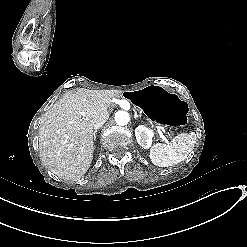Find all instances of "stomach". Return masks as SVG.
<instances>
[{"label":"stomach","mask_w":247,"mask_h":247,"mask_svg":"<svg viewBox=\"0 0 247 247\" xmlns=\"http://www.w3.org/2000/svg\"><path fill=\"white\" fill-rule=\"evenodd\" d=\"M124 96L139 107L149 120L169 130L187 123L188 104L178 94L166 88L149 85L127 91Z\"/></svg>","instance_id":"stomach-1"}]
</instances>
